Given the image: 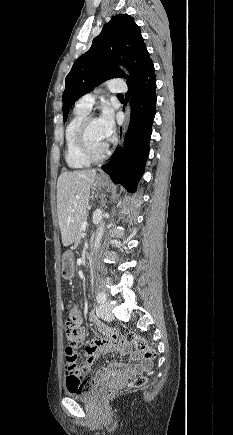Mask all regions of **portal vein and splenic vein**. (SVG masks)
Instances as JSON below:
<instances>
[{
	"label": "portal vein and splenic vein",
	"instance_id": "obj_1",
	"mask_svg": "<svg viewBox=\"0 0 233 435\" xmlns=\"http://www.w3.org/2000/svg\"><path fill=\"white\" fill-rule=\"evenodd\" d=\"M87 222L85 221V222H83L82 224H81V227H80V229L82 230V231H85V229H86V227H87Z\"/></svg>",
	"mask_w": 233,
	"mask_h": 435
}]
</instances>
